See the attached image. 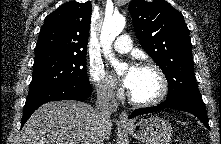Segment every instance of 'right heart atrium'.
<instances>
[{
	"label": "right heart atrium",
	"instance_id": "d8ad5b80",
	"mask_svg": "<svg viewBox=\"0 0 221 144\" xmlns=\"http://www.w3.org/2000/svg\"><path fill=\"white\" fill-rule=\"evenodd\" d=\"M88 75L91 84L101 97L113 99L119 94L115 80L106 72L101 63L91 62L88 68Z\"/></svg>",
	"mask_w": 221,
	"mask_h": 144
}]
</instances>
